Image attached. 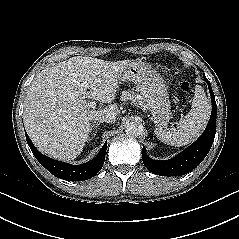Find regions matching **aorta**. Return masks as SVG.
<instances>
[{
	"label": "aorta",
	"mask_w": 239,
	"mask_h": 239,
	"mask_svg": "<svg viewBox=\"0 0 239 239\" xmlns=\"http://www.w3.org/2000/svg\"><path fill=\"white\" fill-rule=\"evenodd\" d=\"M125 132L129 136L138 137L143 134L144 127H143L142 123H140L138 121H131L126 124Z\"/></svg>",
	"instance_id": "1"
}]
</instances>
